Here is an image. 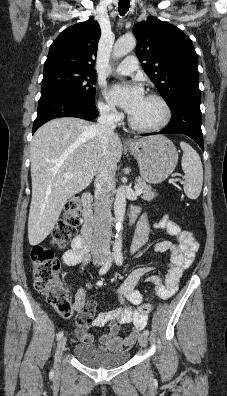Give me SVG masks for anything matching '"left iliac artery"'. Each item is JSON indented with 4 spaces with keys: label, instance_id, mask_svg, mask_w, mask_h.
I'll use <instances>...</instances> for the list:
<instances>
[{
    "label": "left iliac artery",
    "instance_id": "left-iliac-artery-1",
    "mask_svg": "<svg viewBox=\"0 0 227 396\" xmlns=\"http://www.w3.org/2000/svg\"><path fill=\"white\" fill-rule=\"evenodd\" d=\"M115 262H116V264H117L118 266L122 265V263H123V256H122L121 253H117V254L115 255ZM143 334L146 335V336H148V335H149V331H148V330H144Z\"/></svg>",
    "mask_w": 227,
    "mask_h": 396
}]
</instances>
